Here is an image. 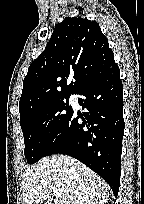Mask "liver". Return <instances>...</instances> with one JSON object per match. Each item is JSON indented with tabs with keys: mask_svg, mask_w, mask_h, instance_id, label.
<instances>
[{
	"mask_svg": "<svg viewBox=\"0 0 144 204\" xmlns=\"http://www.w3.org/2000/svg\"><path fill=\"white\" fill-rule=\"evenodd\" d=\"M23 203L43 202L52 189L62 193L50 204H104L109 186L80 161L52 155L27 167L23 173Z\"/></svg>",
	"mask_w": 144,
	"mask_h": 204,
	"instance_id": "1",
	"label": "liver"
}]
</instances>
